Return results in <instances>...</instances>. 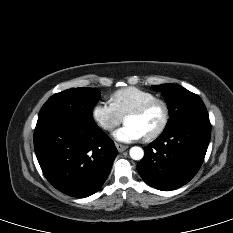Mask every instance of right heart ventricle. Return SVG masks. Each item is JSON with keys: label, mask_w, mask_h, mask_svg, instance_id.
Listing matches in <instances>:
<instances>
[{"label": "right heart ventricle", "mask_w": 233, "mask_h": 233, "mask_svg": "<svg viewBox=\"0 0 233 233\" xmlns=\"http://www.w3.org/2000/svg\"><path fill=\"white\" fill-rule=\"evenodd\" d=\"M153 98H156L154 93L139 87L129 86L112 93L110 103L124 117L130 110Z\"/></svg>", "instance_id": "obj_1"}]
</instances>
